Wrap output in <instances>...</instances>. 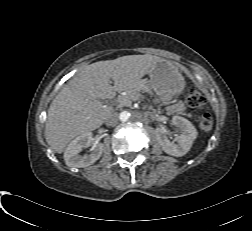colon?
<instances>
[{"instance_id":"5ec220e1","label":"colon","mask_w":252,"mask_h":231,"mask_svg":"<svg viewBox=\"0 0 252 231\" xmlns=\"http://www.w3.org/2000/svg\"><path fill=\"white\" fill-rule=\"evenodd\" d=\"M186 102L191 109L198 110L205 106V98L195 89L186 93ZM199 127L203 132H210L213 128V119L209 113L203 114L199 119Z\"/></svg>"}]
</instances>
